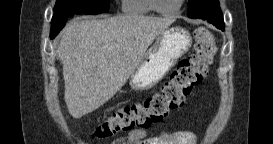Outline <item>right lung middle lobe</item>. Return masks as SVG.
Listing matches in <instances>:
<instances>
[{
  "label": "right lung middle lobe",
  "mask_w": 273,
  "mask_h": 144,
  "mask_svg": "<svg viewBox=\"0 0 273 144\" xmlns=\"http://www.w3.org/2000/svg\"><path fill=\"white\" fill-rule=\"evenodd\" d=\"M109 10V0H56L51 21L50 37H55L65 26L68 17L76 14H99Z\"/></svg>",
  "instance_id": "dd1d6c3e"
}]
</instances>
